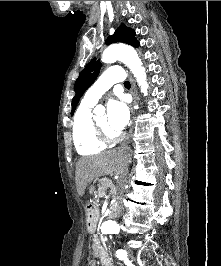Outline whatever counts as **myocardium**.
Returning <instances> with one entry per match:
<instances>
[{
  "label": "myocardium",
  "instance_id": "f54148a6",
  "mask_svg": "<svg viewBox=\"0 0 221 266\" xmlns=\"http://www.w3.org/2000/svg\"><path fill=\"white\" fill-rule=\"evenodd\" d=\"M94 127L96 129L97 135L101 141L105 144L117 142L121 138V133L119 131L115 133H110L104 128H102L97 121L94 122Z\"/></svg>",
  "mask_w": 221,
  "mask_h": 266
}]
</instances>
